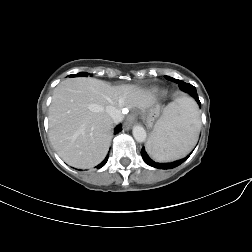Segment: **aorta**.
<instances>
[{"instance_id":"aorta-1","label":"aorta","mask_w":252,"mask_h":252,"mask_svg":"<svg viewBox=\"0 0 252 252\" xmlns=\"http://www.w3.org/2000/svg\"><path fill=\"white\" fill-rule=\"evenodd\" d=\"M132 133H133V137L135 138L137 142L141 143L146 140L147 134H146L145 129L142 126H139V125L134 126Z\"/></svg>"}]
</instances>
